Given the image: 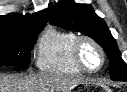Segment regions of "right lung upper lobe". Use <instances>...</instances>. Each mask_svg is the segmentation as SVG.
Segmentation results:
<instances>
[{
	"label": "right lung upper lobe",
	"instance_id": "1",
	"mask_svg": "<svg viewBox=\"0 0 127 92\" xmlns=\"http://www.w3.org/2000/svg\"><path fill=\"white\" fill-rule=\"evenodd\" d=\"M47 23V10L34 14L11 13L0 16V34H18L36 28H44Z\"/></svg>",
	"mask_w": 127,
	"mask_h": 92
}]
</instances>
